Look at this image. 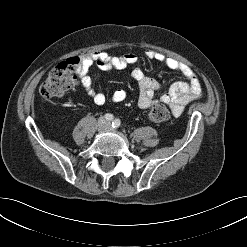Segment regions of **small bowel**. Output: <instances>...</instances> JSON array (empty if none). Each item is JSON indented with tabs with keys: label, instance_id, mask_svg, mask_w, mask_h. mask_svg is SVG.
<instances>
[{
	"label": "small bowel",
	"instance_id": "c3829d8e",
	"mask_svg": "<svg viewBox=\"0 0 247 247\" xmlns=\"http://www.w3.org/2000/svg\"><path fill=\"white\" fill-rule=\"evenodd\" d=\"M145 56L149 60L162 63L169 69L180 72L186 81L173 83L157 99L155 94L161 89V84L156 79L147 76L140 67H134L131 76L138 84L139 106L143 109H149L157 102H161L170 107L174 116L181 115L185 106L201 95V84L197 76L189 66L161 52L149 49ZM137 61L138 56L133 53L112 56L103 51H93L81 57L77 76L86 94L93 102L97 105H103L107 97L104 93L93 88L92 79L88 74L90 67L96 64L105 71L121 70L137 63ZM126 98L127 92L124 89H118L112 95L113 101L117 103L123 102Z\"/></svg>",
	"mask_w": 247,
	"mask_h": 247
}]
</instances>
